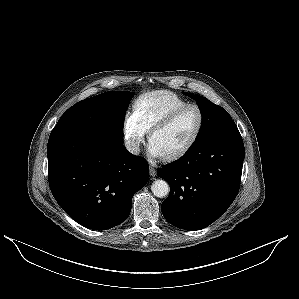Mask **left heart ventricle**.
Masks as SVG:
<instances>
[{
  "label": "left heart ventricle",
  "mask_w": 299,
  "mask_h": 299,
  "mask_svg": "<svg viewBox=\"0 0 299 299\" xmlns=\"http://www.w3.org/2000/svg\"><path fill=\"white\" fill-rule=\"evenodd\" d=\"M199 123V113L195 108L184 111L168 127L157 131L151 141L164 153H173L187 144Z\"/></svg>",
  "instance_id": "b2bd125f"
}]
</instances>
